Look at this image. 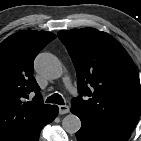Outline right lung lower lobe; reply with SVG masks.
<instances>
[{"label": "right lung lower lobe", "mask_w": 141, "mask_h": 141, "mask_svg": "<svg viewBox=\"0 0 141 141\" xmlns=\"http://www.w3.org/2000/svg\"><path fill=\"white\" fill-rule=\"evenodd\" d=\"M58 114V107L52 105L48 116L22 141H39L41 129L48 123L52 122Z\"/></svg>", "instance_id": "obj_1"}]
</instances>
